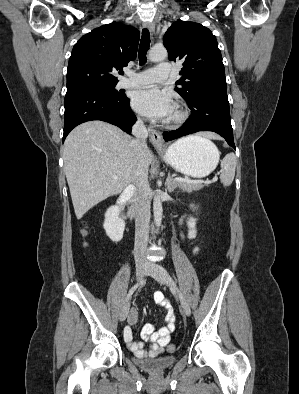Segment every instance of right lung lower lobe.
<instances>
[{
  "label": "right lung lower lobe",
  "instance_id": "obj_1",
  "mask_svg": "<svg viewBox=\"0 0 299 394\" xmlns=\"http://www.w3.org/2000/svg\"><path fill=\"white\" fill-rule=\"evenodd\" d=\"M64 106L63 140L74 127L86 121L102 120L130 134L137 120L125 94L115 95L102 88L67 90Z\"/></svg>",
  "mask_w": 299,
  "mask_h": 394
}]
</instances>
